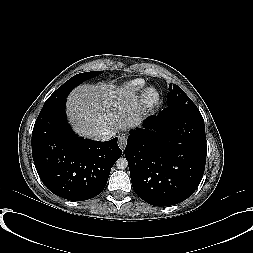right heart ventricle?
Instances as JSON below:
<instances>
[{"label":"right heart ventricle","instance_id":"e07e8e85","mask_svg":"<svg viewBox=\"0 0 253 253\" xmlns=\"http://www.w3.org/2000/svg\"><path fill=\"white\" fill-rule=\"evenodd\" d=\"M146 82L143 79H134L125 82L122 85V93L127 97L137 96L145 87Z\"/></svg>","mask_w":253,"mask_h":253}]
</instances>
